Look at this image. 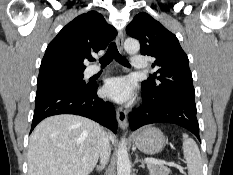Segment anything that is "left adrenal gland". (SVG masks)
I'll use <instances>...</instances> for the list:
<instances>
[{
    "label": "left adrenal gland",
    "mask_w": 233,
    "mask_h": 175,
    "mask_svg": "<svg viewBox=\"0 0 233 175\" xmlns=\"http://www.w3.org/2000/svg\"><path fill=\"white\" fill-rule=\"evenodd\" d=\"M138 162L141 163L142 168H145L144 162L142 160L138 159V155H136L135 163H138Z\"/></svg>",
    "instance_id": "1"
}]
</instances>
